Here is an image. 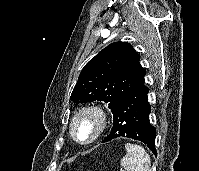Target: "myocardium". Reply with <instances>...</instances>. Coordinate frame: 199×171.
<instances>
[{"label":"myocardium","mask_w":199,"mask_h":171,"mask_svg":"<svg viewBox=\"0 0 199 171\" xmlns=\"http://www.w3.org/2000/svg\"><path fill=\"white\" fill-rule=\"evenodd\" d=\"M89 116L95 121V131L92 137L86 141H82L76 135L75 127L78 122L83 117ZM108 124V116L106 111L97 104H88L80 107L71 117L69 123V132L73 140L81 145H90L96 142L101 135L104 133Z\"/></svg>","instance_id":"obj_1"}]
</instances>
